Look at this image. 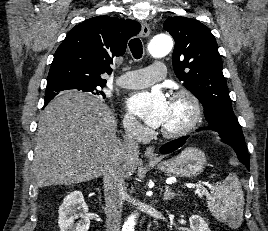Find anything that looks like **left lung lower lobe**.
<instances>
[{"instance_id":"0a47b994","label":"left lung lower lobe","mask_w":268,"mask_h":231,"mask_svg":"<svg viewBox=\"0 0 268 231\" xmlns=\"http://www.w3.org/2000/svg\"><path fill=\"white\" fill-rule=\"evenodd\" d=\"M188 137L189 136H183L181 138H178L176 140L166 143L165 145L161 146L160 152L162 154H167V153L175 151L176 149H178L184 144V142L187 140ZM231 147L235 150L240 162L243 163L246 166V168L249 170L250 158L247 152V148L239 147V146H231Z\"/></svg>"}]
</instances>
